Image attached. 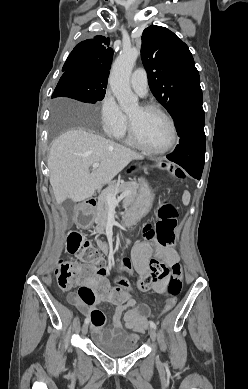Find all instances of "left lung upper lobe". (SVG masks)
Returning a JSON list of instances; mask_svg holds the SVG:
<instances>
[{
    "label": "left lung upper lobe",
    "mask_w": 248,
    "mask_h": 389,
    "mask_svg": "<svg viewBox=\"0 0 248 389\" xmlns=\"http://www.w3.org/2000/svg\"><path fill=\"white\" fill-rule=\"evenodd\" d=\"M141 57L151 92L172 117L187 102L202 98L192 54L173 32L155 25L146 28Z\"/></svg>",
    "instance_id": "left-lung-upper-lobe-1"
}]
</instances>
